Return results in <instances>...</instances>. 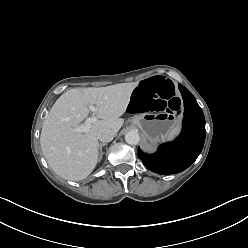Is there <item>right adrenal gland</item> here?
Here are the masks:
<instances>
[{"label":"right adrenal gland","mask_w":248,"mask_h":248,"mask_svg":"<svg viewBox=\"0 0 248 248\" xmlns=\"http://www.w3.org/2000/svg\"><path fill=\"white\" fill-rule=\"evenodd\" d=\"M105 145H107V143H100L99 144V160L102 159V156H103L102 147Z\"/></svg>","instance_id":"2a0ac1e0"}]
</instances>
